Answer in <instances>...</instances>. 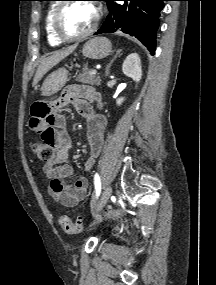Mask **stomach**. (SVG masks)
Instances as JSON below:
<instances>
[{
  "label": "stomach",
  "instance_id": "0dacf381",
  "mask_svg": "<svg viewBox=\"0 0 216 285\" xmlns=\"http://www.w3.org/2000/svg\"><path fill=\"white\" fill-rule=\"evenodd\" d=\"M111 42L105 37H94L88 40L82 49L84 57L98 60L108 56L111 52ZM68 81V71L60 68L52 72L44 81L41 91L42 95L50 96L59 92Z\"/></svg>",
  "mask_w": 216,
  "mask_h": 285
}]
</instances>
